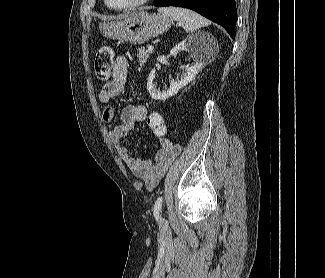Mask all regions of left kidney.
<instances>
[{
  "label": "left kidney",
  "instance_id": "5707ae66",
  "mask_svg": "<svg viewBox=\"0 0 325 278\" xmlns=\"http://www.w3.org/2000/svg\"><path fill=\"white\" fill-rule=\"evenodd\" d=\"M205 44L203 42L202 36H190L181 41L178 45L173 47L170 51L172 56H177L181 51L188 52L195 63L185 69V73L180 80L171 81L170 87L163 91L157 90L156 84L154 83L156 70L153 69L148 77L147 90L150 96L154 100H166L169 97L174 96L178 91L190 83L200 71V69L205 65Z\"/></svg>",
  "mask_w": 325,
  "mask_h": 278
}]
</instances>
